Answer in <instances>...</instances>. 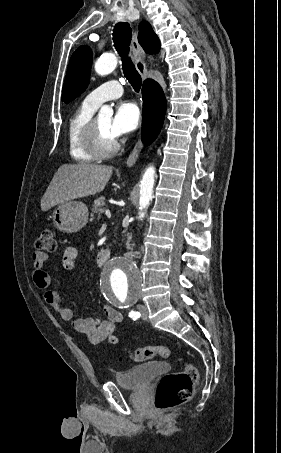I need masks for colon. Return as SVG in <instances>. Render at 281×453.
<instances>
[{
	"label": "colon",
	"mask_w": 281,
	"mask_h": 453,
	"mask_svg": "<svg viewBox=\"0 0 281 453\" xmlns=\"http://www.w3.org/2000/svg\"><path fill=\"white\" fill-rule=\"evenodd\" d=\"M54 228H45L37 241L36 247L40 250H54ZM171 350L167 346L155 345L143 349H130L126 356L133 362L143 363L153 358L169 359ZM175 362L181 366L180 373L164 375L157 386L155 407L159 412H167L176 406L186 403L191 399L192 383L198 376L195 365L186 362L182 357H176Z\"/></svg>",
	"instance_id": "1"
}]
</instances>
